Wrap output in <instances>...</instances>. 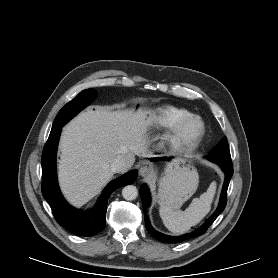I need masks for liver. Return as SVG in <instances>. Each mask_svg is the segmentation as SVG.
I'll use <instances>...</instances> for the list:
<instances>
[{"mask_svg":"<svg viewBox=\"0 0 278 278\" xmlns=\"http://www.w3.org/2000/svg\"><path fill=\"white\" fill-rule=\"evenodd\" d=\"M147 113L98 107L82 112L64 127L58 175L71 204L82 206L99 193L113 177L110 165L116 157L123 156L127 170L134 164L135 155L151 156L146 130L152 119Z\"/></svg>","mask_w":278,"mask_h":278,"instance_id":"obj_1","label":"liver"}]
</instances>
